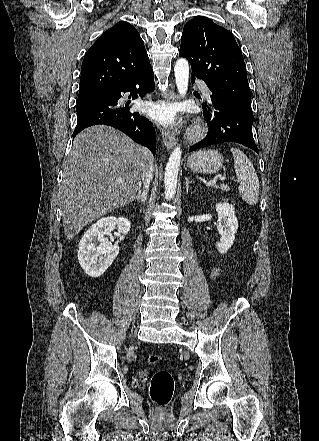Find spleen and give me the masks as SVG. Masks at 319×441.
Segmentation results:
<instances>
[{
    "label": "spleen",
    "mask_w": 319,
    "mask_h": 441,
    "mask_svg": "<svg viewBox=\"0 0 319 441\" xmlns=\"http://www.w3.org/2000/svg\"><path fill=\"white\" fill-rule=\"evenodd\" d=\"M234 158V169L240 182L238 187L242 198L249 205H256L259 199V179L257 173L244 152L236 147L231 148Z\"/></svg>",
    "instance_id": "1"
}]
</instances>
